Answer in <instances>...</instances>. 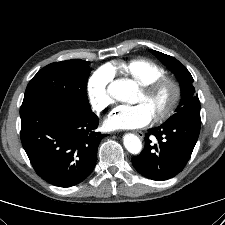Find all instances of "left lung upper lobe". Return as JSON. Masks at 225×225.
Returning <instances> with one entry per match:
<instances>
[{"label": "left lung upper lobe", "mask_w": 225, "mask_h": 225, "mask_svg": "<svg viewBox=\"0 0 225 225\" xmlns=\"http://www.w3.org/2000/svg\"><path fill=\"white\" fill-rule=\"evenodd\" d=\"M150 51L176 75L181 86V101L175 114L172 115L165 123L186 120L201 121L200 101L195 92L193 77L190 72L177 59L155 50Z\"/></svg>", "instance_id": "obj_1"}]
</instances>
